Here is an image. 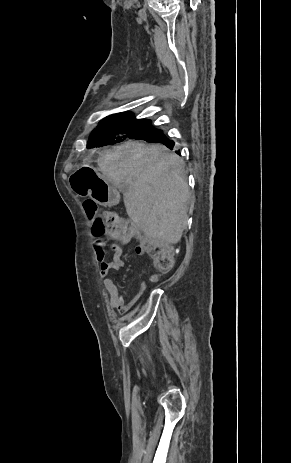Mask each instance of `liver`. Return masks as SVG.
Instances as JSON below:
<instances>
[{"instance_id": "liver-1", "label": "liver", "mask_w": 291, "mask_h": 463, "mask_svg": "<svg viewBox=\"0 0 291 463\" xmlns=\"http://www.w3.org/2000/svg\"><path fill=\"white\" fill-rule=\"evenodd\" d=\"M183 167L163 145L138 141L104 151L99 159L107 181L127 185L124 205L130 219L147 237L168 244L180 241L188 219L190 191Z\"/></svg>"}]
</instances>
